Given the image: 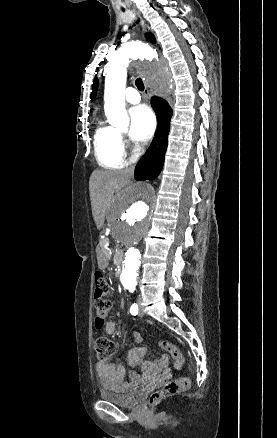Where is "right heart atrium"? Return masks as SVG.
Segmentation results:
<instances>
[{"mask_svg":"<svg viewBox=\"0 0 277 438\" xmlns=\"http://www.w3.org/2000/svg\"><path fill=\"white\" fill-rule=\"evenodd\" d=\"M121 145H122L123 151H125V148L127 147V140L122 136H121Z\"/></svg>","mask_w":277,"mask_h":438,"instance_id":"d8ad5b80","label":"right heart atrium"}]
</instances>
